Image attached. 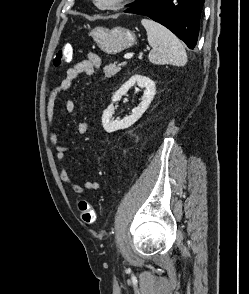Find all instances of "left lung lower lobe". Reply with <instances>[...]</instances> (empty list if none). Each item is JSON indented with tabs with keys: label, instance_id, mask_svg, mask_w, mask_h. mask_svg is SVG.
<instances>
[{
	"label": "left lung lower lobe",
	"instance_id": "1",
	"mask_svg": "<svg viewBox=\"0 0 249 294\" xmlns=\"http://www.w3.org/2000/svg\"><path fill=\"white\" fill-rule=\"evenodd\" d=\"M203 4L204 0H137L125 12L148 16L193 49L197 43Z\"/></svg>",
	"mask_w": 249,
	"mask_h": 294
}]
</instances>
